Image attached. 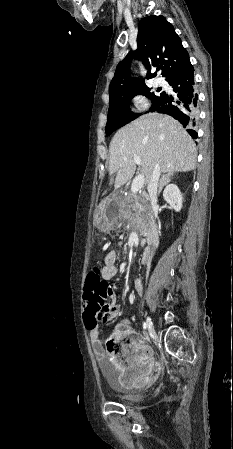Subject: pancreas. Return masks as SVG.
Instances as JSON below:
<instances>
[{
  "mask_svg": "<svg viewBox=\"0 0 233 449\" xmlns=\"http://www.w3.org/2000/svg\"><path fill=\"white\" fill-rule=\"evenodd\" d=\"M122 215L130 225L145 233L147 226L152 223L153 217L146 196L129 193L123 200Z\"/></svg>",
  "mask_w": 233,
  "mask_h": 449,
  "instance_id": "obj_1",
  "label": "pancreas"
}]
</instances>
